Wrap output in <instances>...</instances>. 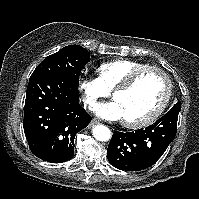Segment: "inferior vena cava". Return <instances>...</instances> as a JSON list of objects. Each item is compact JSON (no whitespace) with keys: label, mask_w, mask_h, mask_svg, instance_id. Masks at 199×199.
<instances>
[{"label":"inferior vena cava","mask_w":199,"mask_h":199,"mask_svg":"<svg viewBox=\"0 0 199 199\" xmlns=\"http://www.w3.org/2000/svg\"><path fill=\"white\" fill-rule=\"evenodd\" d=\"M85 104H92L91 101H85Z\"/></svg>","instance_id":"inferior-vena-cava-1"}]
</instances>
